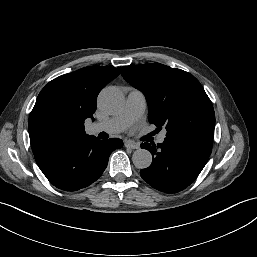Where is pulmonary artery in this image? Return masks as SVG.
Instances as JSON below:
<instances>
[{
	"label": "pulmonary artery",
	"instance_id": "1",
	"mask_svg": "<svg viewBox=\"0 0 257 257\" xmlns=\"http://www.w3.org/2000/svg\"><path fill=\"white\" fill-rule=\"evenodd\" d=\"M145 109L146 98L144 94L139 90L132 89L122 110L106 121L93 124L91 132L106 131L108 133H120L141 118ZM165 138L166 132L164 131L158 136L157 142L163 143Z\"/></svg>",
	"mask_w": 257,
	"mask_h": 257
}]
</instances>
